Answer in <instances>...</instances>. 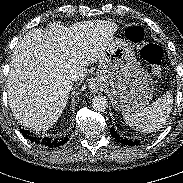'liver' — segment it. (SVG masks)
<instances>
[{"label":"liver","instance_id":"6515ba94","mask_svg":"<svg viewBox=\"0 0 183 183\" xmlns=\"http://www.w3.org/2000/svg\"><path fill=\"white\" fill-rule=\"evenodd\" d=\"M118 26L105 20L77 22L69 27L50 23L33 28L19 40L7 77L9 106L18 122L36 131L49 129L66 107L76 70L97 62Z\"/></svg>","mask_w":183,"mask_h":183}]
</instances>
